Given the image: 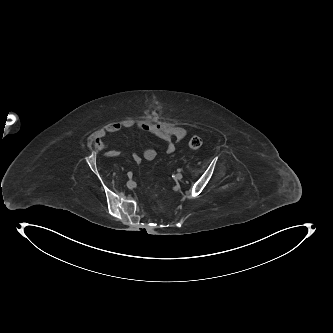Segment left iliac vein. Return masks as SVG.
Returning a JSON list of instances; mask_svg holds the SVG:
<instances>
[{"mask_svg":"<svg viewBox=\"0 0 333 333\" xmlns=\"http://www.w3.org/2000/svg\"><path fill=\"white\" fill-rule=\"evenodd\" d=\"M183 177V175L181 173H177L175 176H174V179L175 180H181Z\"/></svg>","mask_w":333,"mask_h":333,"instance_id":"4c4485c4","label":"left iliac vein"}]
</instances>
